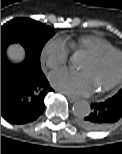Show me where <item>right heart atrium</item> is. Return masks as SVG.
<instances>
[{
  "label": "right heart atrium",
  "instance_id": "obj_1",
  "mask_svg": "<svg viewBox=\"0 0 122 154\" xmlns=\"http://www.w3.org/2000/svg\"><path fill=\"white\" fill-rule=\"evenodd\" d=\"M70 55V49L62 38L54 37L43 47L41 59L47 68L55 70L63 67Z\"/></svg>",
  "mask_w": 122,
  "mask_h": 154
}]
</instances>
